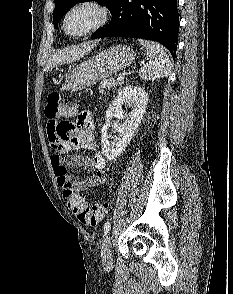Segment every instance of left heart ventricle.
<instances>
[{
	"label": "left heart ventricle",
	"instance_id": "left-heart-ventricle-1",
	"mask_svg": "<svg viewBox=\"0 0 233 294\" xmlns=\"http://www.w3.org/2000/svg\"><path fill=\"white\" fill-rule=\"evenodd\" d=\"M97 19V13L91 8H81L74 11L67 21V30L79 34L89 29Z\"/></svg>",
	"mask_w": 233,
	"mask_h": 294
}]
</instances>
